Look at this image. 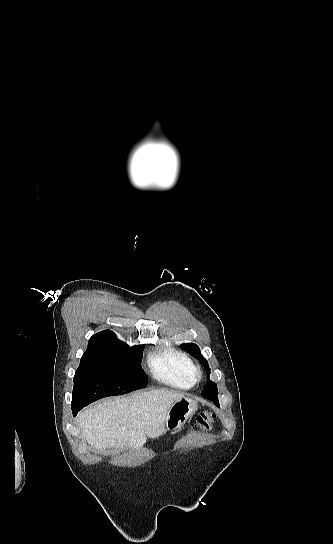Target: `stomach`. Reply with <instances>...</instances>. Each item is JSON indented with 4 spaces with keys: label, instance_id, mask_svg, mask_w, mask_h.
<instances>
[{
    "label": "stomach",
    "instance_id": "stomach-1",
    "mask_svg": "<svg viewBox=\"0 0 333 544\" xmlns=\"http://www.w3.org/2000/svg\"><path fill=\"white\" fill-rule=\"evenodd\" d=\"M198 405L189 398L175 402L168 411L164 426L166 431H176L197 411Z\"/></svg>",
    "mask_w": 333,
    "mask_h": 544
}]
</instances>
